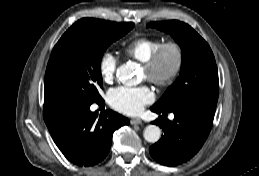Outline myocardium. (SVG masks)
<instances>
[{
	"label": "myocardium",
	"mask_w": 259,
	"mask_h": 176,
	"mask_svg": "<svg viewBox=\"0 0 259 176\" xmlns=\"http://www.w3.org/2000/svg\"><path fill=\"white\" fill-rule=\"evenodd\" d=\"M172 51L174 63L170 70L162 69V61L165 54ZM184 64V52L182 46L177 41L163 42L143 63V68L147 73V79L159 87L171 86L179 77Z\"/></svg>",
	"instance_id": "myocardium-1"
}]
</instances>
